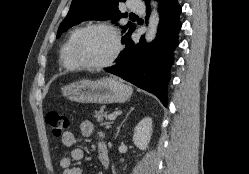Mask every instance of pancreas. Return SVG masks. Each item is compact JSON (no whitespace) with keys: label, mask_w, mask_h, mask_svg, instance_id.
I'll list each match as a JSON object with an SVG mask.
<instances>
[{"label":"pancreas","mask_w":249,"mask_h":174,"mask_svg":"<svg viewBox=\"0 0 249 174\" xmlns=\"http://www.w3.org/2000/svg\"><path fill=\"white\" fill-rule=\"evenodd\" d=\"M95 118H96L97 122L105 125V127L107 129H109L111 127L112 123L107 121L108 116H107V113L103 110V108H101L100 111H95Z\"/></svg>","instance_id":"obj_1"}]
</instances>
